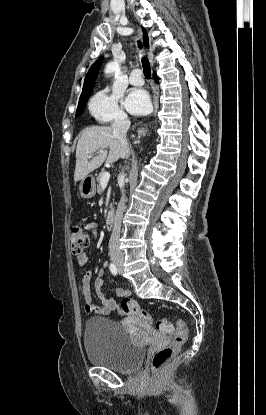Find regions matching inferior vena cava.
Listing matches in <instances>:
<instances>
[{"label":"inferior vena cava","instance_id":"1","mask_svg":"<svg viewBox=\"0 0 266 415\" xmlns=\"http://www.w3.org/2000/svg\"><path fill=\"white\" fill-rule=\"evenodd\" d=\"M129 127H130V121L128 120L125 114L116 117L112 124L113 135L119 139L121 145L125 149V154L123 158L129 157V148H128V143L126 139V133ZM120 177L121 178L125 177V173L123 171L120 173ZM121 192H122V197L117 206L116 215L114 218V226H113L112 234L109 240V255L111 258H116V257L122 258L123 257V253L119 247L121 221H122L123 213L125 211V194H124L123 187L121 188Z\"/></svg>","mask_w":266,"mask_h":415}]
</instances>
